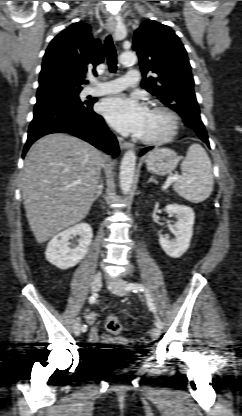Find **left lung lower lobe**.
<instances>
[{"label": "left lung lower lobe", "mask_w": 242, "mask_h": 416, "mask_svg": "<svg viewBox=\"0 0 242 416\" xmlns=\"http://www.w3.org/2000/svg\"><path fill=\"white\" fill-rule=\"evenodd\" d=\"M203 142H205L208 146H209V141H208V137L207 136H202V137H199ZM153 147H148V148H144L142 151H141V154L140 155H143V154H145L148 150H151Z\"/></svg>", "instance_id": "obj_1"}]
</instances>
